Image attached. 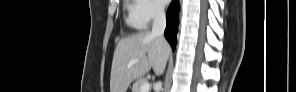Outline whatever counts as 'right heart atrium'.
<instances>
[{
	"label": "right heart atrium",
	"mask_w": 296,
	"mask_h": 92,
	"mask_svg": "<svg viewBox=\"0 0 296 92\" xmlns=\"http://www.w3.org/2000/svg\"><path fill=\"white\" fill-rule=\"evenodd\" d=\"M134 13L137 21L145 27L161 19L164 15V10L157 1L136 0L134 1Z\"/></svg>",
	"instance_id": "right-heart-atrium-1"
}]
</instances>
